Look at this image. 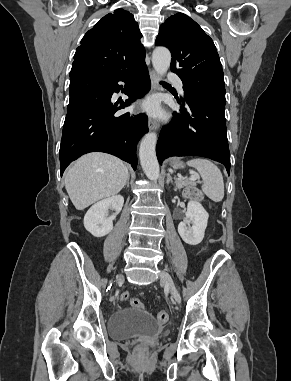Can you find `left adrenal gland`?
Returning <instances> with one entry per match:
<instances>
[{
	"label": "left adrenal gland",
	"instance_id": "left-adrenal-gland-1",
	"mask_svg": "<svg viewBox=\"0 0 291 381\" xmlns=\"http://www.w3.org/2000/svg\"><path fill=\"white\" fill-rule=\"evenodd\" d=\"M173 183V180H172V177H171V175L168 173L167 174V184H169V183ZM176 185H175V191L177 190V189H180L181 187L179 186V184L176 182L175 183Z\"/></svg>",
	"mask_w": 291,
	"mask_h": 381
}]
</instances>
